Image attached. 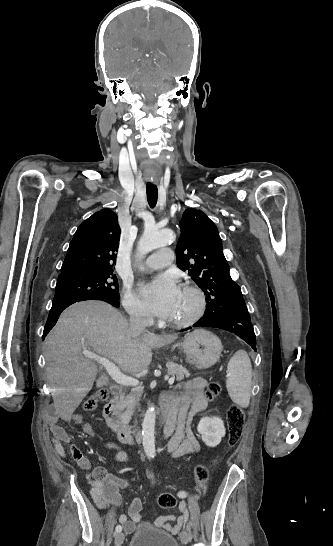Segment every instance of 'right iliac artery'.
<instances>
[{"label": "right iliac artery", "instance_id": "1", "mask_svg": "<svg viewBox=\"0 0 333 546\" xmlns=\"http://www.w3.org/2000/svg\"><path fill=\"white\" fill-rule=\"evenodd\" d=\"M122 531V527L120 525H117L116 526V532H121Z\"/></svg>", "mask_w": 333, "mask_h": 546}]
</instances>
